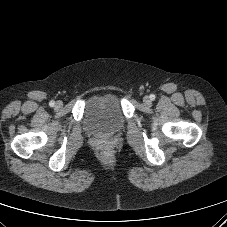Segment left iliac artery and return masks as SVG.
Here are the masks:
<instances>
[{
    "mask_svg": "<svg viewBox=\"0 0 227 227\" xmlns=\"http://www.w3.org/2000/svg\"><path fill=\"white\" fill-rule=\"evenodd\" d=\"M150 99L153 101V100H155V95L154 94H151L150 95Z\"/></svg>",
    "mask_w": 227,
    "mask_h": 227,
    "instance_id": "obj_1",
    "label": "left iliac artery"
}]
</instances>
